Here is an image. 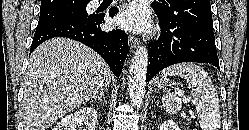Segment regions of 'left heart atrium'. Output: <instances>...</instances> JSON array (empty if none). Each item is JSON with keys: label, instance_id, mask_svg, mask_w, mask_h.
Returning <instances> with one entry per match:
<instances>
[{"label": "left heart atrium", "instance_id": "obj_1", "mask_svg": "<svg viewBox=\"0 0 249 130\" xmlns=\"http://www.w3.org/2000/svg\"><path fill=\"white\" fill-rule=\"evenodd\" d=\"M116 23L125 29L143 32L150 27L148 10L142 3H134L117 16Z\"/></svg>", "mask_w": 249, "mask_h": 130}]
</instances>
